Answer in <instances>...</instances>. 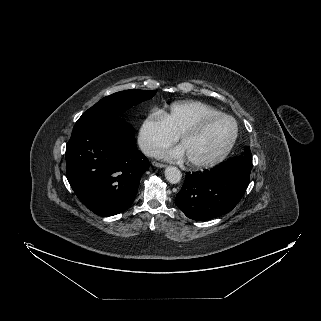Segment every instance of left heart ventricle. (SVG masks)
<instances>
[{"instance_id":"1","label":"left heart ventricle","mask_w":321,"mask_h":321,"mask_svg":"<svg viewBox=\"0 0 321 321\" xmlns=\"http://www.w3.org/2000/svg\"><path fill=\"white\" fill-rule=\"evenodd\" d=\"M233 123L228 119H215L198 133L186 137L181 146L188 159L208 161L218 156L230 141Z\"/></svg>"}]
</instances>
